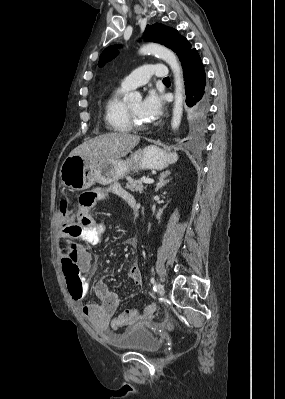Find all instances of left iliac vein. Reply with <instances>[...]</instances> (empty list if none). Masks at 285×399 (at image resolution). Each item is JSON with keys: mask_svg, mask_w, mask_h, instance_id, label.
<instances>
[{"mask_svg": "<svg viewBox=\"0 0 285 399\" xmlns=\"http://www.w3.org/2000/svg\"><path fill=\"white\" fill-rule=\"evenodd\" d=\"M157 291H158V293H159L160 296H162V297L164 296L165 291H164V287H163L162 284L159 283V284L157 285Z\"/></svg>", "mask_w": 285, "mask_h": 399, "instance_id": "4c4485c4", "label": "left iliac vein"}]
</instances>
